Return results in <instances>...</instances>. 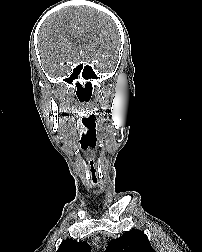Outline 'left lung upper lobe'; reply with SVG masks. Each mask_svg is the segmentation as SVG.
I'll list each match as a JSON object with an SVG mask.
<instances>
[{
  "mask_svg": "<svg viewBox=\"0 0 202 252\" xmlns=\"http://www.w3.org/2000/svg\"><path fill=\"white\" fill-rule=\"evenodd\" d=\"M107 252H155V250L142 231L130 230L112 240Z\"/></svg>",
  "mask_w": 202,
  "mask_h": 252,
  "instance_id": "obj_1",
  "label": "left lung upper lobe"
}]
</instances>
